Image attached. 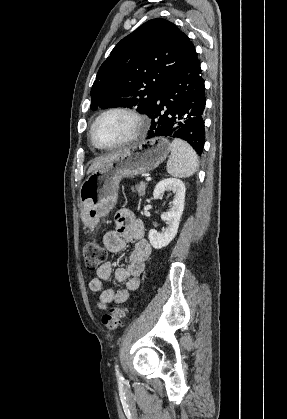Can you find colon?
<instances>
[{
  "mask_svg": "<svg viewBox=\"0 0 287 419\" xmlns=\"http://www.w3.org/2000/svg\"><path fill=\"white\" fill-rule=\"evenodd\" d=\"M83 254L86 267L95 270L101 267L107 259V252L102 244L97 240H89L84 244ZM128 309L125 307L111 308L102 316L103 325L110 331H115L125 317Z\"/></svg>",
  "mask_w": 287,
  "mask_h": 419,
  "instance_id": "5ec220e1",
  "label": "colon"
}]
</instances>
